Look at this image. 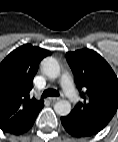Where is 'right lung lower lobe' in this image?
Wrapping results in <instances>:
<instances>
[{"label":"right lung lower lobe","instance_id":"obj_1","mask_svg":"<svg viewBox=\"0 0 118 142\" xmlns=\"http://www.w3.org/2000/svg\"><path fill=\"white\" fill-rule=\"evenodd\" d=\"M32 125L30 127H28L27 129H25L24 131H22L21 133H19V134L25 133L28 129H30L32 127Z\"/></svg>","mask_w":118,"mask_h":142}]
</instances>
